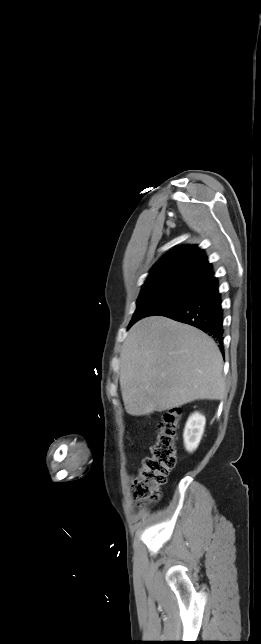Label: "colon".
<instances>
[{
  "label": "colon",
  "mask_w": 261,
  "mask_h": 644,
  "mask_svg": "<svg viewBox=\"0 0 261 644\" xmlns=\"http://www.w3.org/2000/svg\"><path fill=\"white\" fill-rule=\"evenodd\" d=\"M181 410L173 408L163 413L158 426L156 441L150 447L132 484V493L142 502H156L160 487L176 464V442Z\"/></svg>",
  "instance_id": "obj_1"
}]
</instances>
